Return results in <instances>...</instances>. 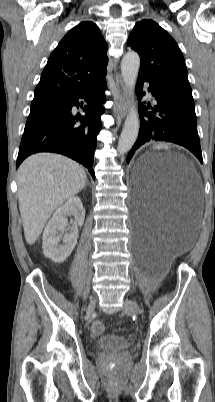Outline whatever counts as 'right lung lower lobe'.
<instances>
[{"label": "right lung lower lobe", "mask_w": 215, "mask_h": 402, "mask_svg": "<svg viewBox=\"0 0 215 402\" xmlns=\"http://www.w3.org/2000/svg\"><path fill=\"white\" fill-rule=\"evenodd\" d=\"M104 76L91 87L65 99L59 111L24 130L16 167L31 154L55 152L83 164L95 179L93 154L106 102L103 95L107 87ZM79 99L87 103L83 108L85 116L82 117L72 114V107H79Z\"/></svg>", "instance_id": "1"}]
</instances>
